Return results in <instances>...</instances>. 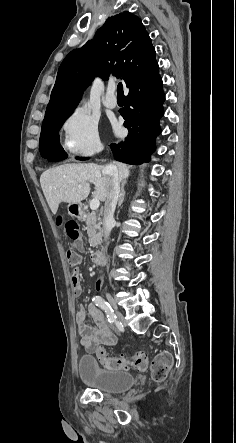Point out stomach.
Returning <instances> with one entry per match:
<instances>
[{"instance_id":"obj_1","label":"stomach","mask_w":236,"mask_h":443,"mask_svg":"<svg viewBox=\"0 0 236 443\" xmlns=\"http://www.w3.org/2000/svg\"><path fill=\"white\" fill-rule=\"evenodd\" d=\"M67 209L72 217H78L81 214L82 206L81 204L70 203Z\"/></svg>"}]
</instances>
